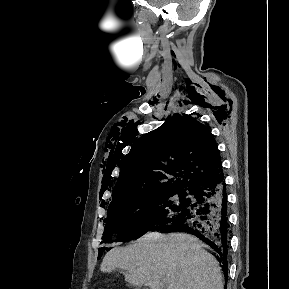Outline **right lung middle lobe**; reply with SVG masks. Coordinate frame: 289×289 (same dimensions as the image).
I'll return each mask as SVG.
<instances>
[{
  "label": "right lung middle lobe",
  "instance_id": "obj_1",
  "mask_svg": "<svg viewBox=\"0 0 289 289\" xmlns=\"http://www.w3.org/2000/svg\"><path fill=\"white\" fill-rule=\"evenodd\" d=\"M189 200L187 189H164L110 205L102 243L113 242V237L117 242L137 239L176 216Z\"/></svg>",
  "mask_w": 289,
  "mask_h": 289
}]
</instances>
